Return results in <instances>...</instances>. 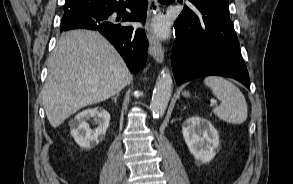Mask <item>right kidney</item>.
Wrapping results in <instances>:
<instances>
[{
  "label": "right kidney",
  "mask_w": 293,
  "mask_h": 184,
  "mask_svg": "<svg viewBox=\"0 0 293 184\" xmlns=\"http://www.w3.org/2000/svg\"><path fill=\"white\" fill-rule=\"evenodd\" d=\"M94 118L98 126L91 129L87 121ZM110 122V114L101 107L86 109L69 122L71 136L82 148L91 149L105 138Z\"/></svg>",
  "instance_id": "right-kidney-1"
}]
</instances>
